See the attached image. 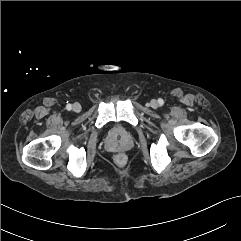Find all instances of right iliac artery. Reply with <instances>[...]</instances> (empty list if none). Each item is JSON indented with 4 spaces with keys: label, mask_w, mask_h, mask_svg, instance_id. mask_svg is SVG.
I'll return each instance as SVG.
<instances>
[{
    "label": "right iliac artery",
    "mask_w": 241,
    "mask_h": 241,
    "mask_svg": "<svg viewBox=\"0 0 241 241\" xmlns=\"http://www.w3.org/2000/svg\"><path fill=\"white\" fill-rule=\"evenodd\" d=\"M66 109H67V110H71V109H72V105H71V104H67V105H66Z\"/></svg>",
    "instance_id": "82829eb1"
}]
</instances>
